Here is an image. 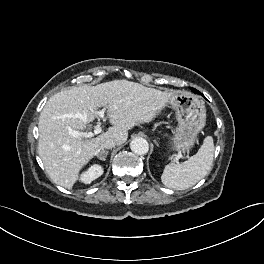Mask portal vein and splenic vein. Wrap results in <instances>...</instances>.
Instances as JSON below:
<instances>
[{
  "mask_svg": "<svg viewBox=\"0 0 264 264\" xmlns=\"http://www.w3.org/2000/svg\"><path fill=\"white\" fill-rule=\"evenodd\" d=\"M99 117L104 119V111L101 110L98 112ZM101 132V128H96L94 132H79V131H70V135L74 137H85V138H90L93 137L94 135H97Z\"/></svg>",
  "mask_w": 264,
  "mask_h": 264,
  "instance_id": "1",
  "label": "portal vein and splenic vein"
}]
</instances>
